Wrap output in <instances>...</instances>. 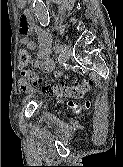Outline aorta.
<instances>
[{
  "mask_svg": "<svg viewBox=\"0 0 123 167\" xmlns=\"http://www.w3.org/2000/svg\"><path fill=\"white\" fill-rule=\"evenodd\" d=\"M33 10L40 24L46 26L49 23V16L42 0H33Z\"/></svg>",
  "mask_w": 123,
  "mask_h": 167,
  "instance_id": "1",
  "label": "aorta"
}]
</instances>
